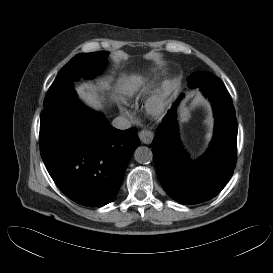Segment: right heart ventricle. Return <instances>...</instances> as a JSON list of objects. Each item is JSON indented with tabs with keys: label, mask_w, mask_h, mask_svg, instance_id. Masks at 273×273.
I'll return each instance as SVG.
<instances>
[{
	"label": "right heart ventricle",
	"mask_w": 273,
	"mask_h": 273,
	"mask_svg": "<svg viewBox=\"0 0 273 273\" xmlns=\"http://www.w3.org/2000/svg\"><path fill=\"white\" fill-rule=\"evenodd\" d=\"M151 76L152 71H144L142 73L136 74L127 87V95L132 96L139 87H141L150 79Z\"/></svg>",
	"instance_id": "obj_1"
}]
</instances>
